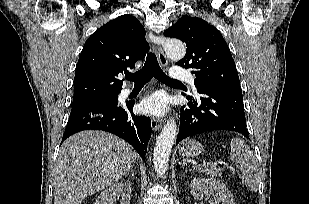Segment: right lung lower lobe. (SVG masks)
<instances>
[{"label": "right lung lower lobe", "instance_id": "obj_1", "mask_svg": "<svg viewBox=\"0 0 309 204\" xmlns=\"http://www.w3.org/2000/svg\"><path fill=\"white\" fill-rule=\"evenodd\" d=\"M134 103L118 106L113 103H93L73 107L62 142L70 135L83 130H103L113 133L131 144L145 159L151 136L150 118L133 113Z\"/></svg>", "mask_w": 309, "mask_h": 204}]
</instances>
